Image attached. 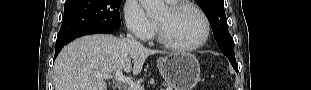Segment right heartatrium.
<instances>
[{
    "mask_svg": "<svg viewBox=\"0 0 311 90\" xmlns=\"http://www.w3.org/2000/svg\"><path fill=\"white\" fill-rule=\"evenodd\" d=\"M127 29L142 41L149 40L155 29L154 22L147 16L138 0H128L124 8Z\"/></svg>",
    "mask_w": 311,
    "mask_h": 90,
    "instance_id": "1",
    "label": "right heart atrium"
}]
</instances>
